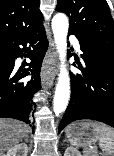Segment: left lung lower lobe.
<instances>
[{
    "instance_id": "obj_1",
    "label": "left lung lower lobe",
    "mask_w": 114,
    "mask_h": 156,
    "mask_svg": "<svg viewBox=\"0 0 114 156\" xmlns=\"http://www.w3.org/2000/svg\"><path fill=\"white\" fill-rule=\"evenodd\" d=\"M77 39L83 52V65L76 63L82 74L71 76L72 95L58 132L81 119L97 120L114 127V57Z\"/></svg>"
}]
</instances>
